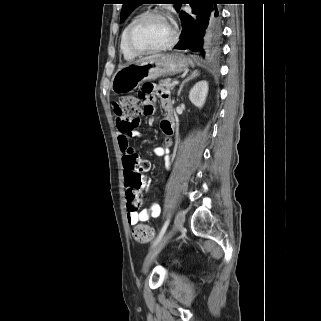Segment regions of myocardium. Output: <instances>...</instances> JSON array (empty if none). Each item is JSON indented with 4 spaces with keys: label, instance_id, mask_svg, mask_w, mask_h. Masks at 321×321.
Returning <instances> with one entry per match:
<instances>
[{
    "label": "myocardium",
    "instance_id": "myocardium-1",
    "mask_svg": "<svg viewBox=\"0 0 321 321\" xmlns=\"http://www.w3.org/2000/svg\"><path fill=\"white\" fill-rule=\"evenodd\" d=\"M149 17H160L165 19L171 26L172 29V36L170 38V40L159 47L153 48V49H139L137 48L132 41L133 38V34L135 29L137 28V26L144 21L145 19L149 18ZM178 40V30L177 27L171 22V20L169 19V17L167 16L166 13H164L163 11L160 10H149L146 11L144 13H142L141 15H139L131 24V26L128 29L127 35H126V44L128 49L135 55H148V54H155V53H159V52H163L166 51L170 48H172L176 42Z\"/></svg>",
    "mask_w": 321,
    "mask_h": 321
}]
</instances>
